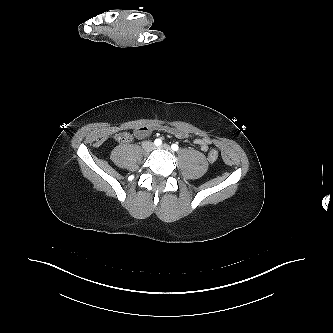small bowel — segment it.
Instances as JSON below:
<instances>
[{"label": "small bowel", "mask_w": 333, "mask_h": 333, "mask_svg": "<svg viewBox=\"0 0 333 333\" xmlns=\"http://www.w3.org/2000/svg\"><path fill=\"white\" fill-rule=\"evenodd\" d=\"M160 130L170 133L178 138H187L189 133L181 128V127H171V126H161L159 127ZM152 132V128L150 127H137L134 130V136L138 139L145 138ZM194 143L198 145L202 151H207L209 148L210 140L207 137H201L195 139Z\"/></svg>", "instance_id": "obj_1"}]
</instances>
